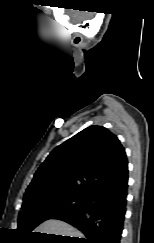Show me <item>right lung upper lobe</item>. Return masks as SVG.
<instances>
[{"instance_id": "cb5924a9", "label": "right lung upper lobe", "mask_w": 154, "mask_h": 243, "mask_svg": "<svg viewBox=\"0 0 154 243\" xmlns=\"http://www.w3.org/2000/svg\"><path fill=\"white\" fill-rule=\"evenodd\" d=\"M127 167L118 138L102 126H90L49 154L28 186L23 204L59 195L87 197Z\"/></svg>"}]
</instances>
